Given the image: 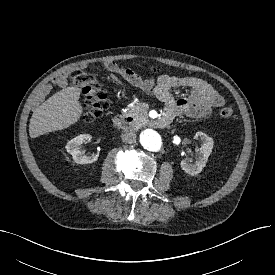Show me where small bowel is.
Here are the masks:
<instances>
[{"label":"small bowel","mask_w":275,"mask_h":275,"mask_svg":"<svg viewBox=\"0 0 275 275\" xmlns=\"http://www.w3.org/2000/svg\"><path fill=\"white\" fill-rule=\"evenodd\" d=\"M119 72L129 83L164 102L166 115L172 119L182 114L193 118L205 117L211 114L214 108L224 104V98L200 78L161 75L154 81L151 78L143 79L130 69L122 68ZM66 77V72L61 74L55 79V84L64 87ZM176 87L187 88L188 96L175 99L171 90Z\"/></svg>","instance_id":"small-bowel-1"}]
</instances>
